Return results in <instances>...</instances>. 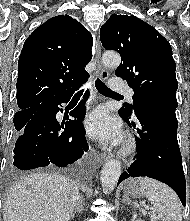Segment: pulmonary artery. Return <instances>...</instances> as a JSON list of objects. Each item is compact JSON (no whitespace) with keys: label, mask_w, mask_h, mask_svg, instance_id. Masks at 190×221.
<instances>
[{"label":"pulmonary artery","mask_w":190,"mask_h":221,"mask_svg":"<svg viewBox=\"0 0 190 221\" xmlns=\"http://www.w3.org/2000/svg\"><path fill=\"white\" fill-rule=\"evenodd\" d=\"M110 88L115 90V91H122V92H126L128 98L130 101H132V96H133V91L130 89H127L123 82L119 79V78H113L110 81Z\"/></svg>","instance_id":"obj_1"}]
</instances>
